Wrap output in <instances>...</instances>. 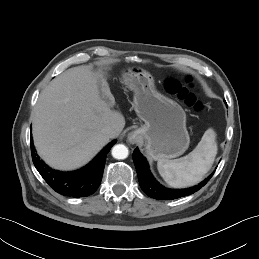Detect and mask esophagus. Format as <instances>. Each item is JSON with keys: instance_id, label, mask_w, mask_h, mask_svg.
<instances>
[{"instance_id": "34e87169", "label": "esophagus", "mask_w": 259, "mask_h": 259, "mask_svg": "<svg viewBox=\"0 0 259 259\" xmlns=\"http://www.w3.org/2000/svg\"><path fill=\"white\" fill-rule=\"evenodd\" d=\"M140 138V134L138 131L134 130L131 131L128 136H127V140L131 143V144H135Z\"/></svg>"}]
</instances>
